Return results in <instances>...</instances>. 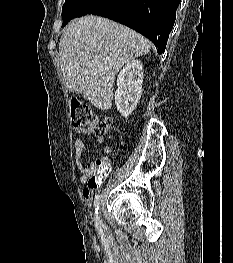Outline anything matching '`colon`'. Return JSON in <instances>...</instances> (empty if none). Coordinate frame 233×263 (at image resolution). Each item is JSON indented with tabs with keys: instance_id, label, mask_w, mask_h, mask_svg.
<instances>
[{
	"instance_id": "1",
	"label": "colon",
	"mask_w": 233,
	"mask_h": 263,
	"mask_svg": "<svg viewBox=\"0 0 233 263\" xmlns=\"http://www.w3.org/2000/svg\"><path fill=\"white\" fill-rule=\"evenodd\" d=\"M71 119L75 129L92 128L97 134L103 135L113 128L112 119L94 114L91 109L75 100L71 104ZM109 163L106 159L96 161V172L88 180L89 189H100L102 180H107Z\"/></svg>"
}]
</instances>
